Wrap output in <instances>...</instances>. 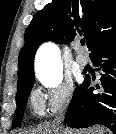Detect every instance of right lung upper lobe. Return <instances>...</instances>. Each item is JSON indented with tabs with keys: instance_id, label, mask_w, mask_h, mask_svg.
Returning a JSON list of instances; mask_svg holds the SVG:
<instances>
[{
	"instance_id": "obj_1",
	"label": "right lung upper lobe",
	"mask_w": 116,
	"mask_h": 134,
	"mask_svg": "<svg viewBox=\"0 0 116 134\" xmlns=\"http://www.w3.org/2000/svg\"><path fill=\"white\" fill-rule=\"evenodd\" d=\"M83 35L89 51L116 37L115 0H53L32 19L19 53L18 91L34 81V57L46 41L65 43Z\"/></svg>"
}]
</instances>
